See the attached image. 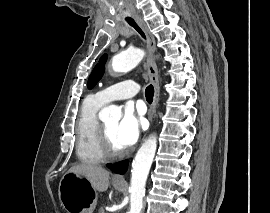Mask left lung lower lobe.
<instances>
[{
    "mask_svg": "<svg viewBox=\"0 0 270 213\" xmlns=\"http://www.w3.org/2000/svg\"><path fill=\"white\" fill-rule=\"evenodd\" d=\"M127 165H128V161H122V162L112 165L110 169L114 171L115 173L123 174L126 172Z\"/></svg>",
    "mask_w": 270,
    "mask_h": 213,
    "instance_id": "obj_1",
    "label": "left lung lower lobe"
}]
</instances>
